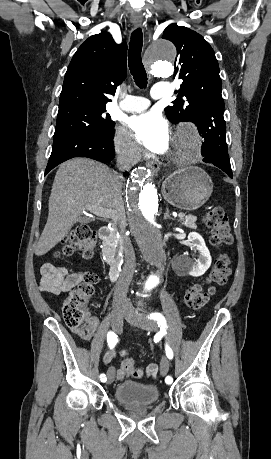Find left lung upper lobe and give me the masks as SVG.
Instances as JSON below:
<instances>
[{"instance_id": "left-lung-upper-lobe-1", "label": "left lung upper lobe", "mask_w": 271, "mask_h": 459, "mask_svg": "<svg viewBox=\"0 0 271 459\" xmlns=\"http://www.w3.org/2000/svg\"><path fill=\"white\" fill-rule=\"evenodd\" d=\"M164 39L170 40L177 49L175 75L183 82L178 98L172 106L165 108L167 118L174 124L191 121L196 126L224 118V100L221 95L222 83L219 65L209 43L198 33L177 24H170L163 32Z\"/></svg>"}]
</instances>
